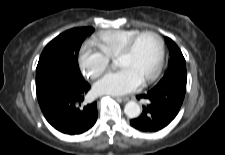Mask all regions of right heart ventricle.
Instances as JSON below:
<instances>
[{
    "label": "right heart ventricle",
    "instance_id": "right-heart-ventricle-1",
    "mask_svg": "<svg viewBox=\"0 0 225 155\" xmlns=\"http://www.w3.org/2000/svg\"><path fill=\"white\" fill-rule=\"evenodd\" d=\"M138 29H115L99 33L92 44L109 59L115 58L126 42L139 33Z\"/></svg>",
    "mask_w": 225,
    "mask_h": 155
}]
</instances>
